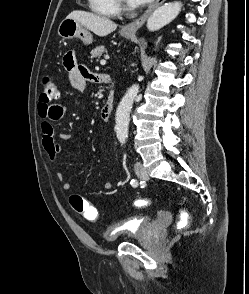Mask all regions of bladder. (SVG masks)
<instances>
[{
  "label": "bladder",
  "instance_id": "obj_1",
  "mask_svg": "<svg viewBox=\"0 0 249 294\" xmlns=\"http://www.w3.org/2000/svg\"><path fill=\"white\" fill-rule=\"evenodd\" d=\"M155 219L151 216H140L136 219L128 221V225L120 232H114L116 226L109 227L103 233V239L106 243H114L120 238L127 240H139L143 238L154 224Z\"/></svg>",
  "mask_w": 249,
  "mask_h": 294
}]
</instances>
